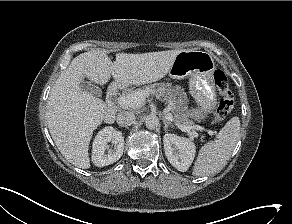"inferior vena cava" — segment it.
I'll list each match as a JSON object with an SVG mask.
<instances>
[{"label":"inferior vena cava","mask_w":292,"mask_h":224,"mask_svg":"<svg viewBox=\"0 0 292 224\" xmlns=\"http://www.w3.org/2000/svg\"><path fill=\"white\" fill-rule=\"evenodd\" d=\"M136 122V117L132 112H121L117 116V123L122 127H128Z\"/></svg>","instance_id":"inferior-vena-cava-1"}]
</instances>
